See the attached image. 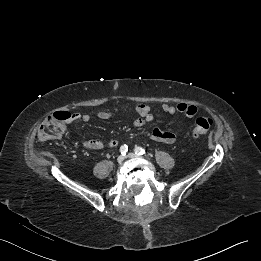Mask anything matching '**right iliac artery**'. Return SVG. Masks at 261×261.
<instances>
[{"instance_id": "1", "label": "right iliac artery", "mask_w": 261, "mask_h": 261, "mask_svg": "<svg viewBox=\"0 0 261 261\" xmlns=\"http://www.w3.org/2000/svg\"><path fill=\"white\" fill-rule=\"evenodd\" d=\"M120 152L122 155H126V153L128 152V146L127 145H122L120 147Z\"/></svg>"}]
</instances>
